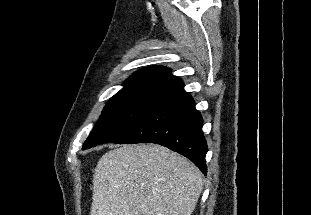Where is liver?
Returning <instances> with one entry per match:
<instances>
[{"mask_svg": "<svg viewBox=\"0 0 311 215\" xmlns=\"http://www.w3.org/2000/svg\"><path fill=\"white\" fill-rule=\"evenodd\" d=\"M203 185L200 170L166 147H115L95 168L90 215H191Z\"/></svg>", "mask_w": 311, "mask_h": 215, "instance_id": "1", "label": "liver"}]
</instances>
